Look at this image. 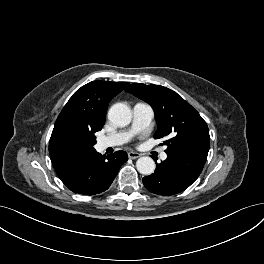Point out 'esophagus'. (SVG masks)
I'll return each mask as SVG.
<instances>
[{
    "label": "esophagus",
    "instance_id": "1",
    "mask_svg": "<svg viewBox=\"0 0 264 264\" xmlns=\"http://www.w3.org/2000/svg\"><path fill=\"white\" fill-rule=\"evenodd\" d=\"M141 155L139 154V153H137V152H133V151H131V152H129L128 153V157L130 158V159H137V158H139Z\"/></svg>",
    "mask_w": 264,
    "mask_h": 264
}]
</instances>
